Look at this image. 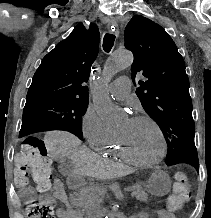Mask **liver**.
<instances>
[{
    "label": "liver",
    "mask_w": 211,
    "mask_h": 218,
    "mask_svg": "<svg viewBox=\"0 0 211 218\" xmlns=\"http://www.w3.org/2000/svg\"><path fill=\"white\" fill-rule=\"evenodd\" d=\"M44 142L48 146L50 156L72 160L75 174H80V176L111 180V178L125 176L127 172L126 166L116 164L111 160H104L98 154H93L87 150L85 146H82L81 140L69 132H48Z\"/></svg>",
    "instance_id": "1"
}]
</instances>
